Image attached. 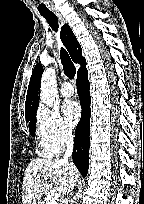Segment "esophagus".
<instances>
[{"instance_id": "obj_1", "label": "esophagus", "mask_w": 144, "mask_h": 204, "mask_svg": "<svg viewBox=\"0 0 144 204\" xmlns=\"http://www.w3.org/2000/svg\"><path fill=\"white\" fill-rule=\"evenodd\" d=\"M55 14L57 15V17L59 18V20L61 21L62 24H63V23H66L64 17L61 15L60 12L55 11Z\"/></svg>"}]
</instances>
